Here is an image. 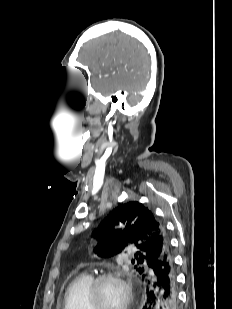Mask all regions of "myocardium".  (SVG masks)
Listing matches in <instances>:
<instances>
[{"instance_id":"1","label":"myocardium","mask_w":232,"mask_h":309,"mask_svg":"<svg viewBox=\"0 0 232 309\" xmlns=\"http://www.w3.org/2000/svg\"><path fill=\"white\" fill-rule=\"evenodd\" d=\"M109 280L118 281L123 285L127 296L123 309H131L134 303V291L130 281L124 272L120 270L105 271L92 278L87 294L90 309H102L100 305V288L104 282Z\"/></svg>"}]
</instances>
